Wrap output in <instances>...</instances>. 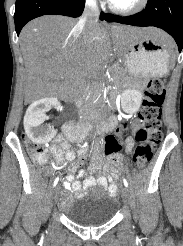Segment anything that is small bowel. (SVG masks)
<instances>
[{
  "instance_id": "small-bowel-1",
  "label": "small bowel",
  "mask_w": 183,
  "mask_h": 246,
  "mask_svg": "<svg viewBox=\"0 0 183 246\" xmlns=\"http://www.w3.org/2000/svg\"><path fill=\"white\" fill-rule=\"evenodd\" d=\"M114 128L113 124H101L97 125L94 128V131L97 134H107L112 131ZM85 133V132H79ZM86 136V133H85ZM73 139H69L68 137H64L59 135L54 140L52 145V152L56 156L57 160L62 163L64 160L73 161L76 157L75 153L69 147V141ZM98 143V142H96ZM134 145V140L132 137H127L125 139L126 150L131 151ZM88 155V148L82 147L77 152L78 160H76L71 166L67 168V176L64 186L70 192H74L77 197L81 196L80 189L81 183L78 179H83V186L86 190L92 188L95 185H99L108 190L110 195L114 196L117 193L116 181L119 178L120 166L123 162V157H107L102 156L101 151H94L93 163L90 167L92 172L96 173L95 177H87V171L78 169L83 165L84 160ZM105 167L109 170V174L107 176L101 175L99 170ZM71 200V197L68 194H63L61 196V204L63 207L67 206Z\"/></svg>"
}]
</instances>
